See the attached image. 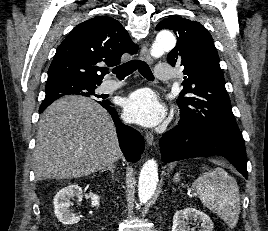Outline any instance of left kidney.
Listing matches in <instances>:
<instances>
[{
	"mask_svg": "<svg viewBox=\"0 0 268 231\" xmlns=\"http://www.w3.org/2000/svg\"><path fill=\"white\" fill-rule=\"evenodd\" d=\"M189 220H199L201 222L199 231H213L214 224L210 217L195 208H184L177 211L173 216L172 231H195L188 225Z\"/></svg>",
	"mask_w": 268,
	"mask_h": 231,
	"instance_id": "obj_1",
	"label": "left kidney"
}]
</instances>
